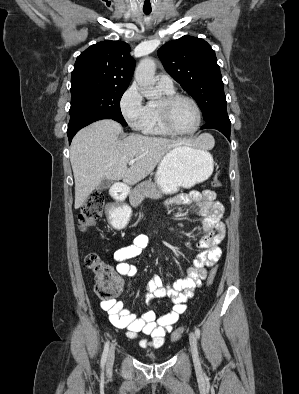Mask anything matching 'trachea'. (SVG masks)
<instances>
[{"mask_svg":"<svg viewBox=\"0 0 299 394\" xmlns=\"http://www.w3.org/2000/svg\"><path fill=\"white\" fill-rule=\"evenodd\" d=\"M145 15H149L151 13V10L149 11H143Z\"/></svg>","mask_w":299,"mask_h":394,"instance_id":"trachea-1","label":"trachea"}]
</instances>
